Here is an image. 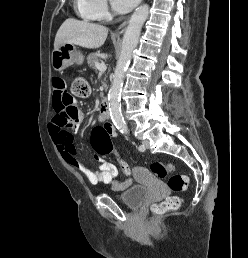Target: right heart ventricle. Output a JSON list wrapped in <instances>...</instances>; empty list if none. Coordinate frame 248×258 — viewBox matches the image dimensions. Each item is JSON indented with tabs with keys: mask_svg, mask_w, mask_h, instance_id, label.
Instances as JSON below:
<instances>
[{
	"mask_svg": "<svg viewBox=\"0 0 248 258\" xmlns=\"http://www.w3.org/2000/svg\"><path fill=\"white\" fill-rule=\"evenodd\" d=\"M74 7L77 14L82 19L87 21H94L97 19L91 8L90 0H74Z\"/></svg>",
	"mask_w": 248,
	"mask_h": 258,
	"instance_id": "right-heart-ventricle-1",
	"label": "right heart ventricle"
}]
</instances>
